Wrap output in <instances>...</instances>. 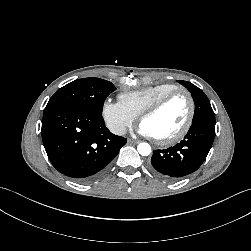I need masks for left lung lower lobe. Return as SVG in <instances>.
I'll list each match as a JSON object with an SVG mask.
<instances>
[{
  "instance_id": "obj_1",
  "label": "left lung lower lobe",
  "mask_w": 251,
  "mask_h": 251,
  "mask_svg": "<svg viewBox=\"0 0 251 251\" xmlns=\"http://www.w3.org/2000/svg\"><path fill=\"white\" fill-rule=\"evenodd\" d=\"M215 137V120L200 119L173 147L153 151L150 170L165 180H176L196 171L206 159Z\"/></svg>"
}]
</instances>
